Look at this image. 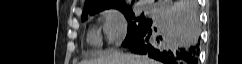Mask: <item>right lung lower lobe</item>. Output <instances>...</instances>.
<instances>
[{"label": "right lung lower lobe", "instance_id": "right-lung-lower-lobe-1", "mask_svg": "<svg viewBox=\"0 0 242 64\" xmlns=\"http://www.w3.org/2000/svg\"><path fill=\"white\" fill-rule=\"evenodd\" d=\"M156 2L153 23L125 47L165 64H198L200 24L196 0ZM153 31L157 35H152Z\"/></svg>", "mask_w": 242, "mask_h": 64}]
</instances>
